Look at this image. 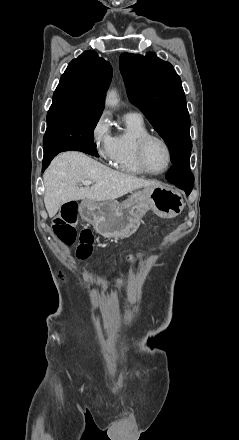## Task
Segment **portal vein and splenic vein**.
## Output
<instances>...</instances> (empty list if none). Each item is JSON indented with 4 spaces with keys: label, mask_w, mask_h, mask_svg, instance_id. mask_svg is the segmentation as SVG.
<instances>
[{
    "label": "portal vein and splenic vein",
    "mask_w": 239,
    "mask_h": 440,
    "mask_svg": "<svg viewBox=\"0 0 239 440\" xmlns=\"http://www.w3.org/2000/svg\"><path fill=\"white\" fill-rule=\"evenodd\" d=\"M83 186H91L92 182H90V180H84V182H82Z\"/></svg>",
    "instance_id": "18ae733b"
}]
</instances>
